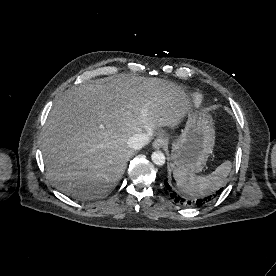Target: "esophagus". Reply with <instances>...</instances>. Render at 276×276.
<instances>
[{
	"instance_id": "esophagus-1",
	"label": "esophagus",
	"mask_w": 276,
	"mask_h": 276,
	"mask_svg": "<svg viewBox=\"0 0 276 276\" xmlns=\"http://www.w3.org/2000/svg\"><path fill=\"white\" fill-rule=\"evenodd\" d=\"M166 145V138L164 136H159L153 142V147L156 149L163 148Z\"/></svg>"
}]
</instances>
